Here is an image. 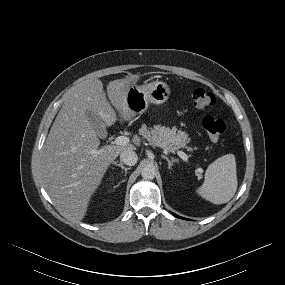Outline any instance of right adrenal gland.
I'll return each mask as SVG.
<instances>
[{"label":"right adrenal gland","instance_id":"2a0ac1e0","mask_svg":"<svg viewBox=\"0 0 285 285\" xmlns=\"http://www.w3.org/2000/svg\"><path fill=\"white\" fill-rule=\"evenodd\" d=\"M114 165L123 169L125 171V175H126L127 171L131 169L130 167H125L122 163L117 164V162H114Z\"/></svg>","mask_w":285,"mask_h":285}]
</instances>
